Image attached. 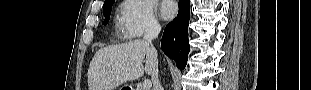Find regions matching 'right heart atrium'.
<instances>
[{
  "label": "right heart atrium",
  "instance_id": "1",
  "mask_svg": "<svg viewBox=\"0 0 311 90\" xmlns=\"http://www.w3.org/2000/svg\"><path fill=\"white\" fill-rule=\"evenodd\" d=\"M119 35L126 40L140 38L160 29L154 5L148 0L122 1L116 21Z\"/></svg>",
  "mask_w": 311,
  "mask_h": 90
}]
</instances>
